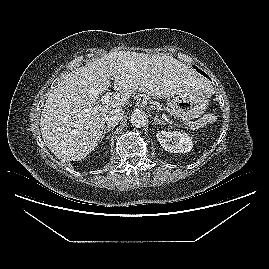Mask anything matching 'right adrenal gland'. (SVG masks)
I'll return each mask as SVG.
<instances>
[{"label": "right adrenal gland", "instance_id": "obj_1", "mask_svg": "<svg viewBox=\"0 0 269 269\" xmlns=\"http://www.w3.org/2000/svg\"><path fill=\"white\" fill-rule=\"evenodd\" d=\"M113 127H106L104 130H103V134H102V138L105 136L106 132H109V131H113Z\"/></svg>", "mask_w": 269, "mask_h": 269}]
</instances>
